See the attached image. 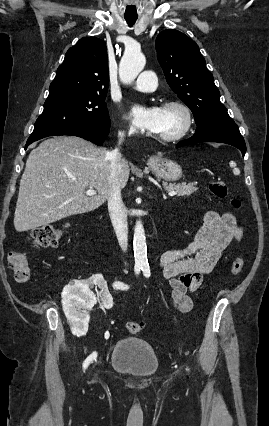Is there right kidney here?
<instances>
[{
  "label": "right kidney",
  "mask_w": 269,
  "mask_h": 426,
  "mask_svg": "<svg viewBox=\"0 0 269 426\" xmlns=\"http://www.w3.org/2000/svg\"><path fill=\"white\" fill-rule=\"evenodd\" d=\"M93 286L96 290H102L99 293L102 298L97 302L91 291ZM61 291L63 310L69 323L81 328L83 333L87 331L89 322L86 310L92 308L95 303V307L100 311H111L113 307V297L108 294L107 284L102 275L92 276L82 281H69L68 286L63 287Z\"/></svg>",
  "instance_id": "right-kidney-1"
}]
</instances>
